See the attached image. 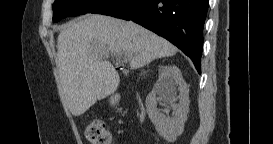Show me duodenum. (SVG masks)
I'll list each match as a JSON object with an SVG mask.
<instances>
[{
    "instance_id": "duodenum-1",
    "label": "duodenum",
    "mask_w": 273,
    "mask_h": 144,
    "mask_svg": "<svg viewBox=\"0 0 273 144\" xmlns=\"http://www.w3.org/2000/svg\"><path fill=\"white\" fill-rule=\"evenodd\" d=\"M139 117H140L141 120L144 118V114H143L142 111L140 112Z\"/></svg>"
}]
</instances>
